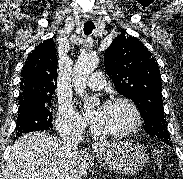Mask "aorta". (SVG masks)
Returning <instances> with one entry per match:
<instances>
[{"mask_svg":"<svg viewBox=\"0 0 183 179\" xmlns=\"http://www.w3.org/2000/svg\"><path fill=\"white\" fill-rule=\"evenodd\" d=\"M99 57L96 54L80 56L72 72V84L76 93L83 98L84 108L88 109L98 102L95 97H87L86 82L89 75L97 68Z\"/></svg>","mask_w":183,"mask_h":179,"instance_id":"obj_1","label":"aorta"}]
</instances>
